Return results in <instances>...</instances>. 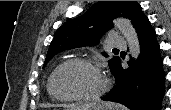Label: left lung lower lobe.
Returning a JSON list of instances; mask_svg holds the SVG:
<instances>
[{
    "label": "left lung lower lobe",
    "mask_w": 171,
    "mask_h": 110,
    "mask_svg": "<svg viewBox=\"0 0 171 110\" xmlns=\"http://www.w3.org/2000/svg\"><path fill=\"white\" fill-rule=\"evenodd\" d=\"M140 56L124 69L121 60L114 72L116 84L102 99L124 104L131 110H160L164 96L165 74L155 30L147 17L137 29Z\"/></svg>",
    "instance_id": "0a47b994"
}]
</instances>
